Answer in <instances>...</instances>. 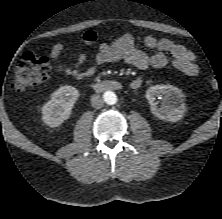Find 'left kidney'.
I'll return each mask as SVG.
<instances>
[{
	"label": "left kidney",
	"instance_id": "left-kidney-1",
	"mask_svg": "<svg viewBox=\"0 0 222 219\" xmlns=\"http://www.w3.org/2000/svg\"><path fill=\"white\" fill-rule=\"evenodd\" d=\"M163 96L160 106H157L156 97ZM146 99L150 104L152 114L160 120L177 122L182 119L186 106L182 99V92L173 85H155L146 91Z\"/></svg>",
	"mask_w": 222,
	"mask_h": 219
}]
</instances>
